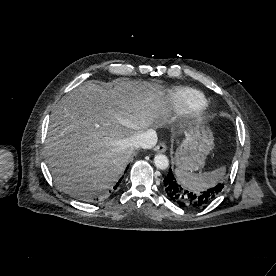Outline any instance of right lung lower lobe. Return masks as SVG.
I'll list each match as a JSON object with an SVG mask.
<instances>
[{
    "label": "right lung lower lobe",
    "instance_id": "right-lung-lower-lobe-1",
    "mask_svg": "<svg viewBox=\"0 0 276 276\" xmlns=\"http://www.w3.org/2000/svg\"><path fill=\"white\" fill-rule=\"evenodd\" d=\"M120 182V181H119ZM119 185V183L116 184V186L114 187V189H116V187Z\"/></svg>",
    "mask_w": 276,
    "mask_h": 276
}]
</instances>
